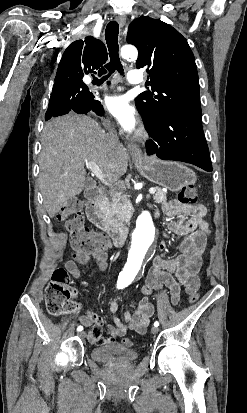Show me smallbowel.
Listing matches in <instances>:
<instances>
[{"label": "small bowel", "mask_w": 247, "mask_h": 413, "mask_svg": "<svg viewBox=\"0 0 247 413\" xmlns=\"http://www.w3.org/2000/svg\"><path fill=\"white\" fill-rule=\"evenodd\" d=\"M162 210L166 216L172 219L168 227L169 231L165 235L174 233L182 238L180 242L182 254L172 260H166L162 256L155 257L141 286V292L148 296L153 290L166 287L170 292L171 303L176 305L180 300L181 285H186V298L193 297L194 293L199 291V281L189 280V278L196 276L201 267L209 228L203 220L205 208L202 205L173 202L164 204ZM155 214L158 215V212ZM165 248V243L159 245L160 251H164ZM106 249L90 253L75 251L65 262V268L75 279L81 276L80 266L92 260L99 270L104 271L108 265ZM73 292L74 296H77V292ZM131 308L134 306L132 305ZM109 310L113 314L114 324L109 326L110 337L108 339H104L102 335L96 333L100 322L96 310H89L86 315L78 317L82 326H93V329L87 333L89 342L95 346L107 344L109 349H116L118 347L116 339L128 331L144 334L150 318L154 314V308L148 298L141 300L138 310L126 311L123 314V320L116 316L117 302L112 301L109 304ZM62 320L65 321L66 318Z\"/></svg>", "instance_id": "small-bowel-1"}]
</instances>
